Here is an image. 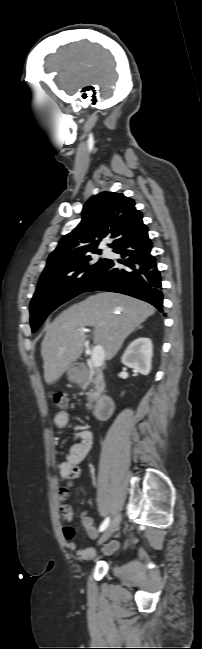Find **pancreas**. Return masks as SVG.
<instances>
[{
    "mask_svg": "<svg viewBox=\"0 0 202 649\" xmlns=\"http://www.w3.org/2000/svg\"><path fill=\"white\" fill-rule=\"evenodd\" d=\"M89 382L94 383V388L87 392L88 402L86 406L88 409H92L93 402L100 398L105 388L102 372L100 370H95L92 364L88 367H83L80 384L82 385Z\"/></svg>",
    "mask_w": 202,
    "mask_h": 649,
    "instance_id": "1",
    "label": "pancreas"
}]
</instances>
